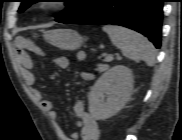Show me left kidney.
<instances>
[{
	"mask_svg": "<svg viewBox=\"0 0 182 140\" xmlns=\"http://www.w3.org/2000/svg\"><path fill=\"white\" fill-rule=\"evenodd\" d=\"M132 71L117 65L105 72L88 95L89 112L95 120H105L124 108L133 91Z\"/></svg>",
	"mask_w": 182,
	"mask_h": 140,
	"instance_id": "1",
	"label": "left kidney"
}]
</instances>
